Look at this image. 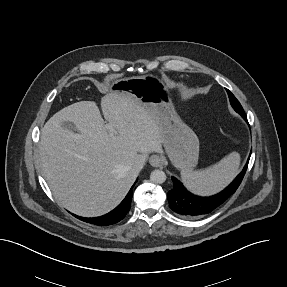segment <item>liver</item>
Wrapping results in <instances>:
<instances>
[{"label": "liver", "mask_w": 287, "mask_h": 287, "mask_svg": "<svg viewBox=\"0 0 287 287\" xmlns=\"http://www.w3.org/2000/svg\"><path fill=\"white\" fill-rule=\"evenodd\" d=\"M99 107L80 101L55 113L41 130L39 162L58 202L80 216L103 215L126 196L140 154L162 152L158 122L130 94H108ZM70 122L75 133L63 126Z\"/></svg>", "instance_id": "1"}]
</instances>
